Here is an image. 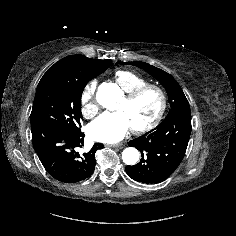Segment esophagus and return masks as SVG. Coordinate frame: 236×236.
Segmentation results:
<instances>
[{
  "instance_id": "esophagus-1",
  "label": "esophagus",
  "mask_w": 236,
  "mask_h": 236,
  "mask_svg": "<svg viewBox=\"0 0 236 236\" xmlns=\"http://www.w3.org/2000/svg\"><path fill=\"white\" fill-rule=\"evenodd\" d=\"M108 147L123 148V144L122 143H118V144L108 145Z\"/></svg>"
}]
</instances>
